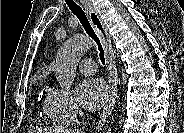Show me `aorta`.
<instances>
[{"mask_svg": "<svg viewBox=\"0 0 184 133\" xmlns=\"http://www.w3.org/2000/svg\"><path fill=\"white\" fill-rule=\"evenodd\" d=\"M92 41L83 35H75L61 46L55 65L56 79L61 88L69 90L76 76V69L82 56L92 47ZM109 127L106 133H111Z\"/></svg>", "mask_w": 184, "mask_h": 133, "instance_id": "aorta-1", "label": "aorta"}]
</instances>
